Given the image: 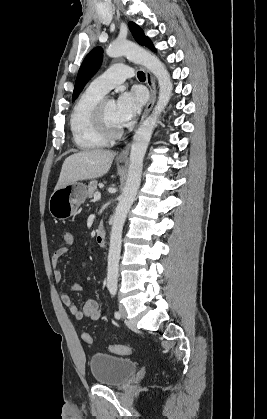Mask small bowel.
<instances>
[{
    "label": "small bowel",
    "mask_w": 267,
    "mask_h": 419,
    "mask_svg": "<svg viewBox=\"0 0 267 419\" xmlns=\"http://www.w3.org/2000/svg\"><path fill=\"white\" fill-rule=\"evenodd\" d=\"M75 246H62L54 253L51 264L53 268V276L56 282H60L63 278L62 271L59 267V263L62 257L71 254L75 251ZM80 290L79 284L71 286V291L76 292ZM62 304L69 310L72 316L76 320H82L83 318H89L91 320H98L103 314V309L96 300H88L82 307H78L73 303L69 294L64 293L61 296Z\"/></svg>",
    "instance_id": "1"
}]
</instances>
